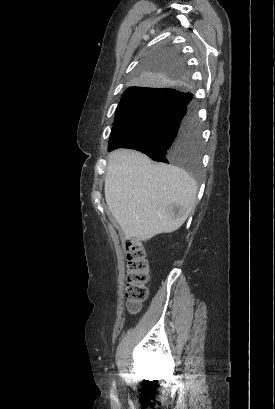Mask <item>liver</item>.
Wrapping results in <instances>:
<instances>
[{
  "label": "liver",
  "instance_id": "1",
  "mask_svg": "<svg viewBox=\"0 0 275 409\" xmlns=\"http://www.w3.org/2000/svg\"><path fill=\"white\" fill-rule=\"evenodd\" d=\"M104 190L112 217L126 239L138 243L177 231L194 207L197 184L180 166L152 164L138 150L118 148L109 154ZM173 202L185 211L181 219L167 213Z\"/></svg>",
  "mask_w": 275,
  "mask_h": 409
}]
</instances>
